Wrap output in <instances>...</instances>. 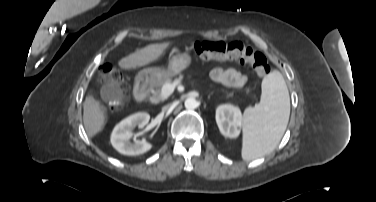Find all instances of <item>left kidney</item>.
Masks as SVG:
<instances>
[{"label": "left kidney", "mask_w": 376, "mask_h": 202, "mask_svg": "<svg viewBox=\"0 0 376 202\" xmlns=\"http://www.w3.org/2000/svg\"><path fill=\"white\" fill-rule=\"evenodd\" d=\"M243 115L240 109L230 104L218 106L216 110V122L222 135L229 138H237L240 134Z\"/></svg>", "instance_id": "5707ae66"}]
</instances>
